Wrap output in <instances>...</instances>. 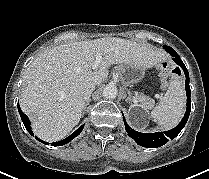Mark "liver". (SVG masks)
Wrapping results in <instances>:
<instances>
[{
	"instance_id": "1",
	"label": "liver",
	"mask_w": 209,
	"mask_h": 179,
	"mask_svg": "<svg viewBox=\"0 0 209 179\" xmlns=\"http://www.w3.org/2000/svg\"><path fill=\"white\" fill-rule=\"evenodd\" d=\"M97 54L103 58L93 68ZM163 58L162 51L115 37L48 48L24 73L20 107L30 117L39 138L48 142L61 140L79 123L86 90L108 77L109 66L134 64L147 69Z\"/></svg>"
}]
</instances>
